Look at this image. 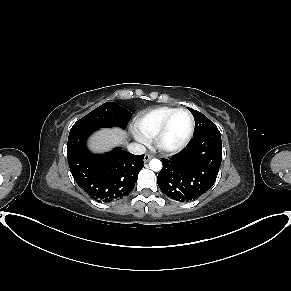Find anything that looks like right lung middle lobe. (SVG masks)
<instances>
[{"mask_svg": "<svg viewBox=\"0 0 291 291\" xmlns=\"http://www.w3.org/2000/svg\"><path fill=\"white\" fill-rule=\"evenodd\" d=\"M132 113L115 102H107L78 120L70 132L77 130H96L118 126L126 128Z\"/></svg>", "mask_w": 291, "mask_h": 291, "instance_id": "right-lung-middle-lobe-1", "label": "right lung middle lobe"}]
</instances>
